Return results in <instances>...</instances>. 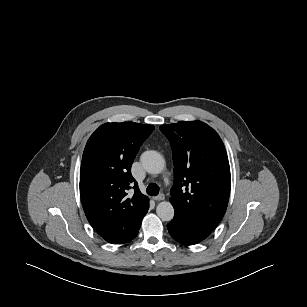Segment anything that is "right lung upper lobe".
<instances>
[{
    "mask_svg": "<svg viewBox=\"0 0 307 307\" xmlns=\"http://www.w3.org/2000/svg\"><path fill=\"white\" fill-rule=\"evenodd\" d=\"M153 130V125L134 122L105 123L85 146L80 171L82 206L89 223L109 243L134 239L149 209V199L132 177L131 165ZM131 186L134 193L129 196Z\"/></svg>",
    "mask_w": 307,
    "mask_h": 307,
    "instance_id": "1",
    "label": "right lung upper lobe"
}]
</instances>
